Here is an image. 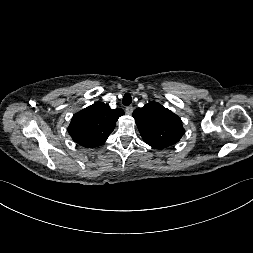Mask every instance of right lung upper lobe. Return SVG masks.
<instances>
[{"mask_svg":"<svg viewBox=\"0 0 253 253\" xmlns=\"http://www.w3.org/2000/svg\"><path fill=\"white\" fill-rule=\"evenodd\" d=\"M123 114L121 108L112 110L107 104L95 102L74 114L68 132L79 145L86 148L97 147L107 140L118 118Z\"/></svg>","mask_w":253,"mask_h":253,"instance_id":"obj_1","label":"right lung upper lobe"}]
</instances>
